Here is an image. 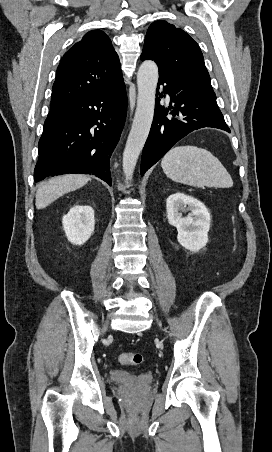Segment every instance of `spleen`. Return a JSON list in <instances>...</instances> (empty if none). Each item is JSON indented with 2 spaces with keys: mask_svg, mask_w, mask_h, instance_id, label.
<instances>
[{
  "mask_svg": "<svg viewBox=\"0 0 272 452\" xmlns=\"http://www.w3.org/2000/svg\"><path fill=\"white\" fill-rule=\"evenodd\" d=\"M161 167L168 178L189 186H233L230 174L219 159L203 148L174 147L163 157Z\"/></svg>",
  "mask_w": 272,
  "mask_h": 452,
  "instance_id": "obj_1",
  "label": "spleen"
}]
</instances>
